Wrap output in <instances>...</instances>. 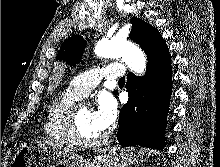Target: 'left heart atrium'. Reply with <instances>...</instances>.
<instances>
[{"instance_id":"1","label":"left heart atrium","mask_w":220,"mask_h":167,"mask_svg":"<svg viewBox=\"0 0 220 167\" xmlns=\"http://www.w3.org/2000/svg\"><path fill=\"white\" fill-rule=\"evenodd\" d=\"M117 110L114 100L110 96L99 98L96 106L91 110V116L96 126L105 131L116 118Z\"/></svg>"}]
</instances>
